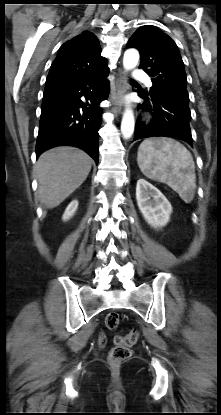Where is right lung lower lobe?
I'll list each match as a JSON object with an SVG mask.
<instances>
[{
	"mask_svg": "<svg viewBox=\"0 0 221 415\" xmlns=\"http://www.w3.org/2000/svg\"><path fill=\"white\" fill-rule=\"evenodd\" d=\"M108 72L46 84L36 142L37 157L52 147L70 145L83 149L98 163L100 103L109 94Z\"/></svg>",
	"mask_w": 221,
	"mask_h": 415,
	"instance_id": "98d812e1",
	"label": "right lung lower lobe"
}]
</instances>
